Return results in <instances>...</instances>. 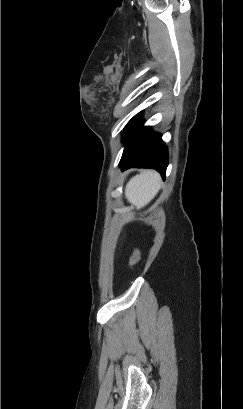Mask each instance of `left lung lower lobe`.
I'll return each mask as SVG.
<instances>
[{"label":"left lung lower lobe","mask_w":243,"mask_h":409,"mask_svg":"<svg viewBox=\"0 0 243 409\" xmlns=\"http://www.w3.org/2000/svg\"><path fill=\"white\" fill-rule=\"evenodd\" d=\"M142 112L134 116L125 126L123 142L124 152L119 166L124 171L131 167L154 168L165 179L168 165V151L161 135L151 131V127H143L139 121Z\"/></svg>","instance_id":"1"}]
</instances>
